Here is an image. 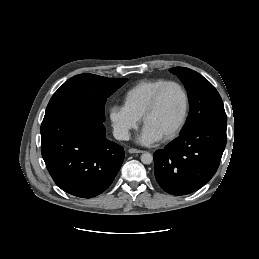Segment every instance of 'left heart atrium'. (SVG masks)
I'll return each instance as SVG.
<instances>
[{"mask_svg": "<svg viewBox=\"0 0 259 259\" xmlns=\"http://www.w3.org/2000/svg\"><path fill=\"white\" fill-rule=\"evenodd\" d=\"M160 140V137L150 131L148 128L144 127L140 137L139 142L142 144H152Z\"/></svg>", "mask_w": 259, "mask_h": 259, "instance_id": "left-heart-atrium-1", "label": "left heart atrium"}]
</instances>
